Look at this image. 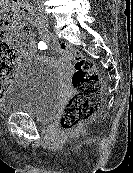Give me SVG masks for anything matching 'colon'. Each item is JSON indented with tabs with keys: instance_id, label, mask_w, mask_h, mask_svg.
Here are the masks:
<instances>
[{
	"instance_id": "1",
	"label": "colon",
	"mask_w": 133,
	"mask_h": 173,
	"mask_svg": "<svg viewBox=\"0 0 133 173\" xmlns=\"http://www.w3.org/2000/svg\"><path fill=\"white\" fill-rule=\"evenodd\" d=\"M27 26L15 21L11 13L0 20V95L4 92L20 57L18 51L11 46L10 41L24 35ZM55 49L73 61L71 85L73 94L67 101L60 117L61 127L72 130L91 118L101 103V83L95 63L67 44H55Z\"/></svg>"
}]
</instances>
